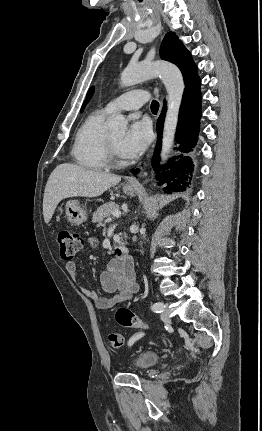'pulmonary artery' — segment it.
<instances>
[{
  "label": "pulmonary artery",
  "instance_id": "1",
  "mask_svg": "<svg viewBox=\"0 0 262 431\" xmlns=\"http://www.w3.org/2000/svg\"><path fill=\"white\" fill-rule=\"evenodd\" d=\"M149 95L143 89L132 90L111 100L105 106V109L112 113L120 110H138L147 101Z\"/></svg>",
  "mask_w": 262,
  "mask_h": 431
}]
</instances>
